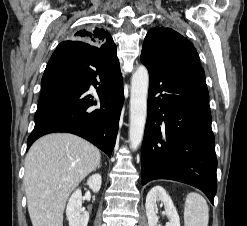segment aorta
<instances>
[{"mask_svg":"<svg viewBox=\"0 0 247 226\" xmlns=\"http://www.w3.org/2000/svg\"><path fill=\"white\" fill-rule=\"evenodd\" d=\"M149 74L145 66L140 65L132 75L130 90V148L137 150L142 142L146 117Z\"/></svg>","mask_w":247,"mask_h":226,"instance_id":"obj_1","label":"aorta"}]
</instances>
